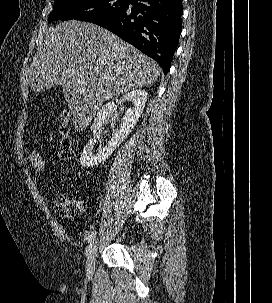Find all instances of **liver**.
Wrapping results in <instances>:
<instances>
[{"instance_id": "obj_1", "label": "liver", "mask_w": 272, "mask_h": 303, "mask_svg": "<svg viewBox=\"0 0 272 303\" xmlns=\"http://www.w3.org/2000/svg\"><path fill=\"white\" fill-rule=\"evenodd\" d=\"M160 72L157 62L110 31L71 20L47 30L29 84L36 92L62 85L74 128L81 131L105 101L154 83Z\"/></svg>"}]
</instances>
